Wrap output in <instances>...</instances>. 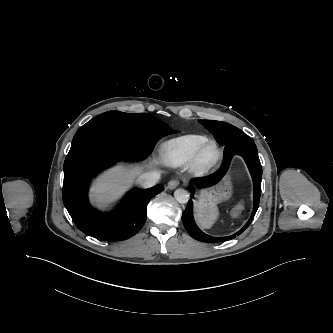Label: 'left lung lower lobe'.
Listing matches in <instances>:
<instances>
[{"instance_id":"1","label":"left lung lower lobe","mask_w":333,"mask_h":333,"mask_svg":"<svg viewBox=\"0 0 333 333\" xmlns=\"http://www.w3.org/2000/svg\"><path fill=\"white\" fill-rule=\"evenodd\" d=\"M234 155H240L243 157L253 179L254 208L252 215L247 221V223L243 226V228L234 235L228 237H212L203 233L195 224L192 214V200H189L188 205L182 214V222L189 235L198 241L206 243H218L231 239L235 235L241 234L250 225L252 219L254 218L258 210L261 194L262 167L255 143L243 131H239L238 133L231 136L230 140L224 146V159L220 168L214 173L204 178H198L193 180V183L196 184L198 187L203 188L219 182L228 171L231 158ZM190 190L192 193L191 197L193 198L194 188L192 184H190Z\"/></svg>"}]
</instances>
